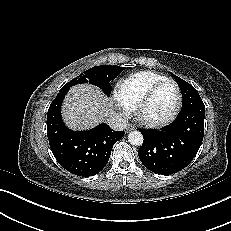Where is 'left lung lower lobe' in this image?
<instances>
[{
  "instance_id": "obj_1",
  "label": "left lung lower lobe",
  "mask_w": 231,
  "mask_h": 231,
  "mask_svg": "<svg viewBox=\"0 0 231 231\" xmlns=\"http://www.w3.org/2000/svg\"><path fill=\"white\" fill-rule=\"evenodd\" d=\"M204 105H192L179 112L176 120L162 130L140 129L144 141L138 156L150 171L169 175L188 166L204 136Z\"/></svg>"
}]
</instances>
